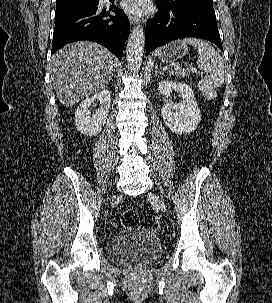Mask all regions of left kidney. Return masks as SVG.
Segmentation results:
<instances>
[{
    "mask_svg": "<svg viewBox=\"0 0 272 303\" xmlns=\"http://www.w3.org/2000/svg\"><path fill=\"white\" fill-rule=\"evenodd\" d=\"M158 90L166 98L175 90L181 94L183 100L178 104L168 102L163 105L161 115L166 126L180 135L194 131L201 121V111L192 88L186 83L165 79L159 82Z\"/></svg>",
    "mask_w": 272,
    "mask_h": 303,
    "instance_id": "left-kidney-1",
    "label": "left kidney"
}]
</instances>
